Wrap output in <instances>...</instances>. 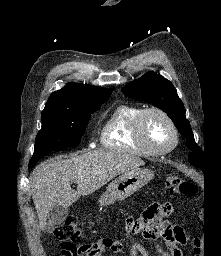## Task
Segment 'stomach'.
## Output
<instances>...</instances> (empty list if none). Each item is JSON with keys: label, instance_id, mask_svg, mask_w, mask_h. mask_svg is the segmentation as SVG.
<instances>
[{"label": "stomach", "instance_id": "0dacf381", "mask_svg": "<svg viewBox=\"0 0 221 256\" xmlns=\"http://www.w3.org/2000/svg\"><path fill=\"white\" fill-rule=\"evenodd\" d=\"M153 177V172L146 168L125 172L107 186L105 193L100 197V205L107 206L115 201L126 199L146 185Z\"/></svg>", "mask_w": 221, "mask_h": 256}]
</instances>
